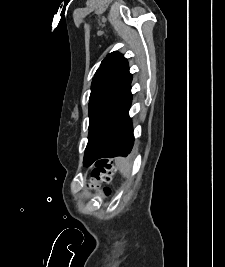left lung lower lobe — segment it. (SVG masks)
Instances as JSON below:
<instances>
[{
	"mask_svg": "<svg viewBox=\"0 0 225 267\" xmlns=\"http://www.w3.org/2000/svg\"><path fill=\"white\" fill-rule=\"evenodd\" d=\"M131 101L132 94L130 84L121 102L110 133L95 161L104 157H126L131 152L134 144L133 128L129 117Z\"/></svg>",
	"mask_w": 225,
	"mask_h": 267,
	"instance_id": "left-lung-lower-lobe-1",
	"label": "left lung lower lobe"
}]
</instances>
